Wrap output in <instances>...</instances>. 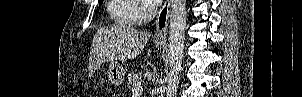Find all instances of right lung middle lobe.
<instances>
[{"label":"right lung middle lobe","mask_w":302,"mask_h":97,"mask_svg":"<svg viewBox=\"0 0 302 97\" xmlns=\"http://www.w3.org/2000/svg\"><path fill=\"white\" fill-rule=\"evenodd\" d=\"M103 3V0L99 2V4L101 5Z\"/></svg>","instance_id":"dd1d6c3e"}]
</instances>
